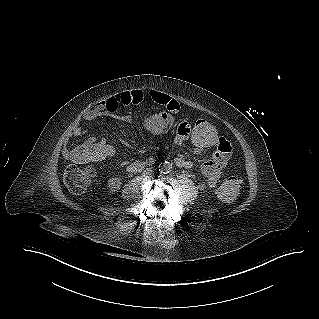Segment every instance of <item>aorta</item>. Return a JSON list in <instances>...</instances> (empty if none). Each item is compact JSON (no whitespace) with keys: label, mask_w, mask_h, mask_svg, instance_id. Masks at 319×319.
<instances>
[{"label":"aorta","mask_w":319,"mask_h":319,"mask_svg":"<svg viewBox=\"0 0 319 319\" xmlns=\"http://www.w3.org/2000/svg\"><path fill=\"white\" fill-rule=\"evenodd\" d=\"M170 169V167L169 166H167V170H169Z\"/></svg>","instance_id":"1"}]
</instances>
